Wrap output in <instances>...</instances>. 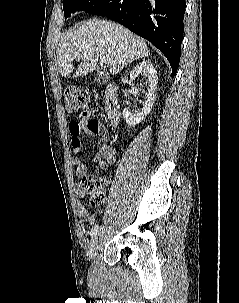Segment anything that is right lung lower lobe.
Segmentation results:
<instances>
[{
  "label": "right lung lower lobe",
  "mask_w": 239,
  "mask_h": 303,
  "mask_svg": "<svg viewBox=\"0 0 239 303\" xmlns=\"http://www.w3.org/2000/svg\"><path fill=\"white\" fill-rule=\"evenodd\" d=\"M185 0H105L90 13L106 15L149 40L168 59L174 76L179 66Z\"/></svg>",
  "instance_id": "right-lung-lower-lobe-1"
}]
</instances>
